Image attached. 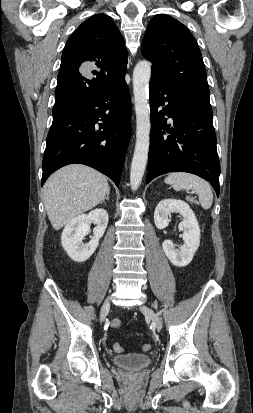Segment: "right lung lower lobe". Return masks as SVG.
Listing matches in <instances>:
<instances>
[{
    "label": "right lung lower lobe",
    "mask_w": 253,
    "mask_h": 413,
    "mask_svg": "<svg viewBox=\"0 0 253 413\" xmlns=\"http://www.w3.org/2000/svg\"><path fill=\"white\" fill-rule=\"evenodd\" d=\"M130 119L131 100L125 79L93 99L53 116L41 185L57 169L80 163L107 175L119 186L131 134Z\"/></svg>",
    "instance_id": "98d812e1"
}]
</instances>
